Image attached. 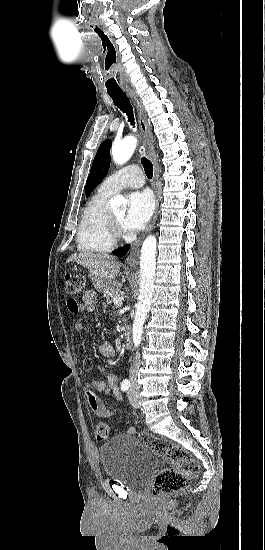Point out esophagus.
Wrapping results in <instances>:
<instances>
[{"label": "esophagus", "mask_w": 265, "mask_h": 550, "mask_svg": "<svg viewBox=\"0 0 265 550\" xmlns=\"http://www.w3.org/2000/svg\"><path fill=\"white\" fill-rule=\"evenodd\" d=\"M127 94L131 98L133 104L136 107L139 126L142 134L144 135V148L146 151V155L152 161V164H153V168H154L153 188L156 196V207H155V212L153 214L151 222L148 225V227L145 229L144 233L137 240H135V242L133 243V247L127 257V264L130 267H135L138 263L139 249H140L141 243L144 237L146 236V234L152 230L158 216L159 203H160V195L158 191L159 167H158V163L153 150L152 132L149 127V124L147 121V115L142 105V102L134 91L130 90L127 92Z\"/></svg>", "instance_id": "1"}]
</instances>
